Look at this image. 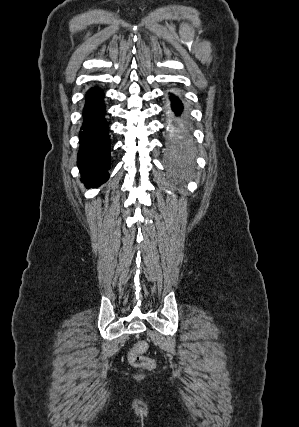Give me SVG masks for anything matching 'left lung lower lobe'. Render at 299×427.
Masks as SVG:
<instances>
[{
  "mask_svg": "<svg viewBox=\"0 0 299 427\" xmlns=\"http://www.w3.org/2000/svg\"><path fill=\"white\" fill-rule=\"evenodd\" d=\"M172 114L167 123L169 141L168 151L172 155H184L190 146L191 139L181 120L183 104L180 99L170 94Z\"/></svg>",
  "mask_w": 299,
  "mask_h": 427,
  "instance_id": "obj_1",
  "label": "left lung lower lobe"
}]
</instances>
